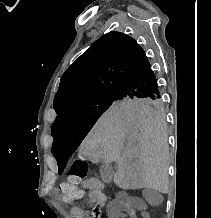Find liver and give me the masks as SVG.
I'll return each instance as SVG.
<instances>
[{"mask_svg": "<svg viewBox=\"0 0 211 218\" xmlns=\"http://www.w3.org/2000/svg\"><path fill=\"white\" fill-rule=\"evenodd\" d=\"M82 156L117 162L114 184L122 190H168V144L164 120L147 108L112 104L83 140Z\"/></svg>", "mask_w": 211, "mask_h": 218, "instance_id": "liver-1", "label": "liver"}]
</instances>
